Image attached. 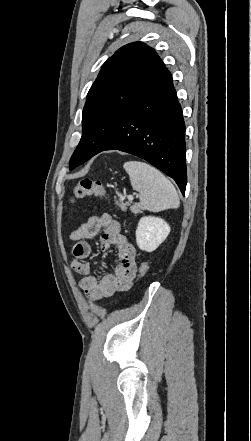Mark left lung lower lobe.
Instances as JSON below:
<instances>
[{"label": "left lung lower lobe", "mask_w": 251, "mask_h": 441, "mask_svg": "<svg viewBox=\"0 0 251 441\" xmlns=\"http://www.w3.org/2000/svg\"><path fill=\"white\" fill-rule=\"evenodd\" d=\"M84 145L87 159L105 150L143 158L173 178L184 195L185 123L171 73L167 70L126 115L93 124Z\"/></svg>", "instance_id": "0a47b994"}]
</instances>
